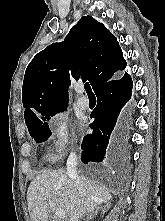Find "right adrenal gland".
Wrapping results in <instances>:
<instances>
[{"instance_id": "2a0ac1e0", "label": "right adrenal gland", "mask_w": 165, "mask_h": 221, "mask_svg": "<svg viewBox=\"0 0 165 221\" xmlns=\"http://www.w3.org/2000/svg\"><path fill=\"white\" fill-rule=\"evenodd\" d=\"M110 208V204L108 202H105L104 205L97 206L91 214L88 216L87 221L93 219L99 211H101V214L104 215Z\"/></svg>"}]
</instances>
